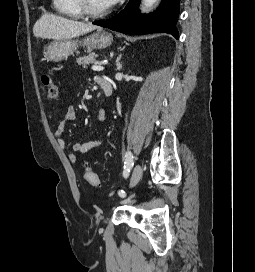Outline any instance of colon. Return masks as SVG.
<instances>
[{
  "label": "colon",
  "instance_id": "colon-1",
  "mask_svg": "<svg viewBox=\"0 0 255 272\" xmlns=\"http://www.w3.org/2000/svg\"><path fill=\"white\" fill-rule=\"evenodd\" d=\"M42 84L45 87L47 97L49 99H56L59 96V87L53 78L48 75H42ZM84 178L92 186L98 187L101 185L98 175L89 167L86 166L84 170Z\"/></svg>",
  "mask_w": 255,
  "mask_h": 272
}]
</instances>
